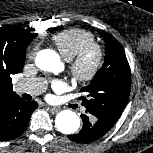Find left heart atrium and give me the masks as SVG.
<instances>
[{
  "label": "left heart atrium",
  "instance_id": "left-heart-atrium-1",
  "mask_svg": "<svg viewBox=\"0 0 153 153\" xmlns=\"http://www.w3.org/2000/svg\"><path fill=\"white\" fill-rule=\"evenodd\" d=\"M53 85H54V87L57 88V89H60V88L62 87V84H61L60 82H58V81H55V82L53 83Z\"/></svg>",
  "mask_w": 153,
  "mask_h": 153
}]
</instances>
